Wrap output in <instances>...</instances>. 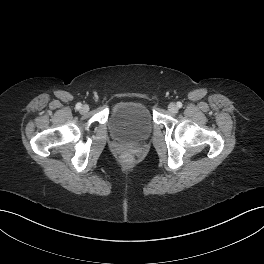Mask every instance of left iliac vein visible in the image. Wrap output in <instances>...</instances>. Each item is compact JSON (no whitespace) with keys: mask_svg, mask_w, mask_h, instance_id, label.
I'll return each mask as SVG.
<instances>
[{"mask_svg":"<svg viewBox=\"0 0 264 264\" xmlns=\"http://www.w3.org/2000/svg\"><path fill=\"white\" fill-rule=\"evenodd\" d=\"M168 110L172 113H177L178 107L175 103H170L168 106Z\"/></svg>","mask_w":264,"mask_h":264,"instance_id":"left-iliac-vein-1","label":"left iliac vein"}]
</instances>
